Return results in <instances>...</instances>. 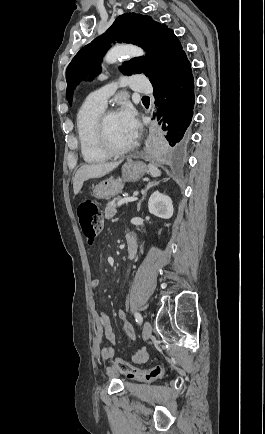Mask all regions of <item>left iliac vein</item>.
<instances>
[{
  "mask_svg": "<svg viewBox=\"0 0 265 434\" xmlns=\"http://www.w3.org/2000/svg\"><path fill=\"white\" fill-rule=\"evenodd\" d=\"M151 331H152L151 324L148 321H146L143 325V334H142L144 341L150 338Z\"/></svg>",
  "mask_w": 265,
  "mask_h": 434,
  "instance_id": "4c4485c4",
  "label": "left iliac vein"
}]
</instances>
